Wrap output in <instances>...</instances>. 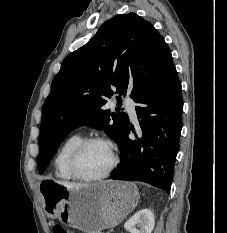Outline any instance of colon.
<instances>
[{"mask_svg": "<svg viewBox=\"0 0 227 233\" xmlns=\"http://www.w3.org/2000/svg\"><path fill=\"white\" fill-rule=\"evenodd\" d=\"M53 233H73V232H71L70 230L64 228L63 226L56 225L53 228Z\"/></svg>", "mask_w": 227, "mask_h": 233, "instance_id": "1", "label": "colon"}]
</instances>
